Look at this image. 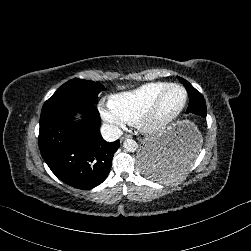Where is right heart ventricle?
I'll use <instances>...</instances> for the list:
<instances>
[{
	"instance_id": "obj_1",
	"label": "right heart ventricle",
	"mask_w": 251,
	"mask_h": 251,
	"mask_svg": "<svg viewBox=\"0 0 251 251\" xmlns=\"http://www.w3.org/2000/svg\"><path fill=\"white\" fill-rule=\"evenodd\" d=\"M168 82L147 83L128 93L120 94L116 101L122 111L132 119L140 118Z\"/></svg>"
}]
</instances>
